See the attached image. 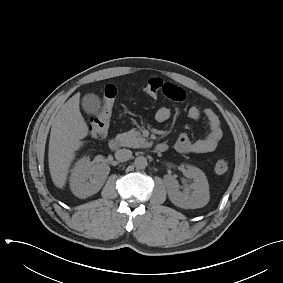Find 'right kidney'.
<instances>
[{
	"mask_svg": "<svg viewBox=\"0 0 283 283\" xmlns=\"http://www.w3.org/2000/svg\"><path fill=\"white\" fill-rule=\"evenodd\" d=\"M70 176V188L78 198H87L97 193L103 186L110 167L104 163H93L89 156L80 158Z\"/></svg>",
	"mask_w": 283,
	"mask_h": 283,
	"instance_id": "1",
	"label": "right kidney"
}]
</instances>
